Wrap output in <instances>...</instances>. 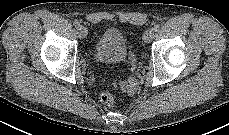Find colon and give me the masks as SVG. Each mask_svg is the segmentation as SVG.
<instances>
[{
	"instance_id": "1",
	"label": "colon",
	"mask_w": 229,
	"mask_h": 135,
	"mask_svg": "<svg viewBox=\"0 0 229 135\" xmlns=\"http://www.w3.org/2000/svg\"><path fill=\"white\" fill-rule=\"evenodd\" d=\"M99 100L102 104L106 106H113L115 104V98L110 91H103L100 96Z\"/></svg>"
}]
</instances>
